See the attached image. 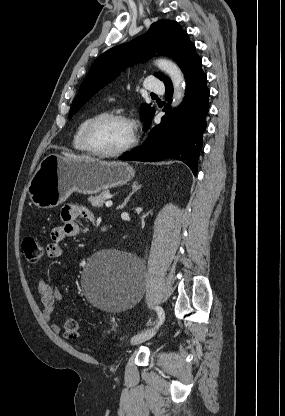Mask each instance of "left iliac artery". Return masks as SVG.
Segmentation results:
<instances>
[{
    "label": "left iliac artery",
    "mask_w": 285,
    "mask_h": 416,
    "mask_svg": "<svg viewBox=\"0 0 285 416\" xmlns=\"http://www.w3.org/2000/svg\"><path fill=\"white\" fill-rule=\"evenodd\" d=\"M155 310H156V312L158 314V317H159V323H158V325H160V324H162V322L165 319V313H164L163 308L160 307V306H156Z\"/></svg>",
    "instance_id": "left-iliac-artery-1"
}]
</instances>
